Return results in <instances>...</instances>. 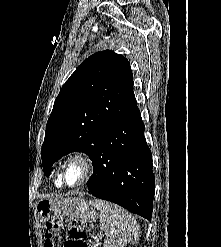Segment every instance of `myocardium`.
Wrapping results in <instances>:
<instances>
[{
    "label": "myocardium",
    "instance_id": "obj_1",
    "mask_svg": "<svg viewBox=\"0 0 221 247\" xmlns=\"http://www.w3.org/2000/svg\"><path fill=\"white\" fill-rule=\"evenodd\" d=\"M71 163L80 165L83 173L81 179L75 184H68L66 182V169ZM93 170L94 162L92 157L84 151H75L69 154L62 163L59 175L60 182L69 188L79 187L89 180L93 173Z\"/></svg>",
    "mask_w": 221,
    "mask_h": 247
}]
</instances>
